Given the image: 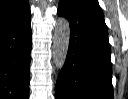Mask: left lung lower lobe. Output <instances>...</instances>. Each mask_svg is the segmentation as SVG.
Wrapping results in <instances>:
<instances>
[{
	"label": "left lung lower lobe",
	"mask_w": 128,
	"mask_h": 99,
	"mask_svg": "<svg viewBox=\"0 0 128 99\" xmlns=\"http://www.w3.org/2000/svg\"><path fill=\"white\" fill-rule=\"evenodd\" d=\"M57 14L68 19L71 32L56 99H113L111 49L102 10L85 0H60Z\"/></svg>",
	"instance_id": "left-lung-lower-lobe-1"
}]
</instances>
